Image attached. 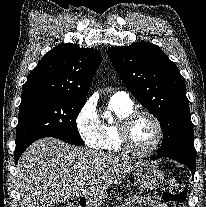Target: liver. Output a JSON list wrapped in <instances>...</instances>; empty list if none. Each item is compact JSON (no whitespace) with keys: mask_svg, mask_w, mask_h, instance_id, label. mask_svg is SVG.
<instances>
[{"mask_svg":"<svg viewBox=\"0 0 206 207\" xmlns=\"http://www.w3.org/2000/svg\"><path fill=\"white\" fill-rule=\"evenodd\" d=\"M141 162L46 137L31 144L17 163L21 207H52L84 197L88 207L100 206L106 190Z\"/></svg>","mask_w":206,"mask_h":207,"instance_id":"6515ba94","label":"liver"}]
</instances>
